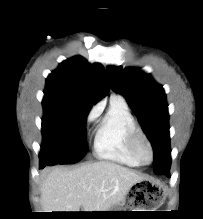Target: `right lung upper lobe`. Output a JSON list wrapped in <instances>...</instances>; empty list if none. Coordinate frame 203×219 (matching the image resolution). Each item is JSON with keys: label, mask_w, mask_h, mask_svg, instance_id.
<instances>
[{"label": "right lung upper lobe", "mask_w": 203, "mask_h": 219, "mask_svg": "<svg viewBox=\"0 0 203 219\" xmlns=\"http://www.w3.org/2000/svg\"><path fill=\"white\" fill-rule=\"evenodd\" d=\"M109 85L101 64H89L77 56L62 62L46 80L45 93L93 105L107 95Z\"/></svg>", "instance_id": "1"}]
</instances>
